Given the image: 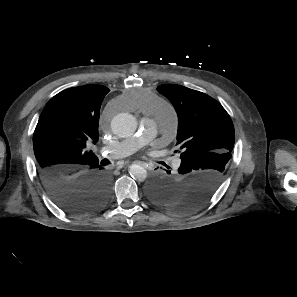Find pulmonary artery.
<instances>
[{"mask_svg": "<svg viewBox=\"0 0 297 297\" xmlns=\"http://www.w3.org/2000/svg\"><path fill=\"white\" fill-rule=\"evenodd\" d=\"M175 121L174 109L170 105H163L155 113L154 117L143 122L134 135L115 145L105 146L102 150L115 158L128 156L152 140L158 131L170 129Z\"/></svg>", "mask_w": 297, "mask_h": 297, "instance_id": "e3ab8cb5", "label": "pulmonary artery"}]
</instances>
